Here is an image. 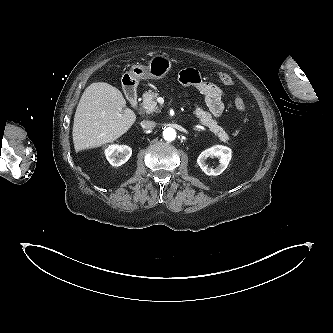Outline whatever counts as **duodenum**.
<instances>
[{
  "label": "duodenum",
  "instance_id": "duodenum-1",
  "mask_svg": "<svg viewBox=\"0 0 333 333\" xmlns=\"http://www.w3.org/2000/svg\"><path fill=\"white\" fill-rule=\"evenodd\" d=\"M124 91L125 94L134 108L138 107V96L136 85L133 80L126 78L124 81Z\"/></svg>",
  "mask_w": 333,
  "mask_h": 333
}]
</instances>
